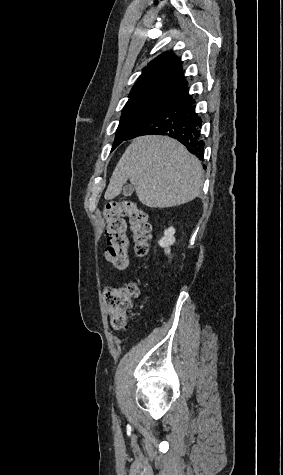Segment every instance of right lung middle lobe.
Returning a JSON list of instances; mask_svg holds the SVG:
<instances>
[{
  "label": "right lung middle lobe",
  "mask_w": 283,
  "mask_h": 475,
  "mask_svg": "<svg viewBox=\"0 0 283 475\" xmlns=\"http://www.w3.org/2000/svg\"><path fill=\"white\" fill-rule=\"evenodd\" d=\"M176 90L167 88L129 98L126 103L112 150L123 142L129 133L149 114L165 102Z\"/></svg>",
  "instance_id": "obj_1"
}]
</instances>
